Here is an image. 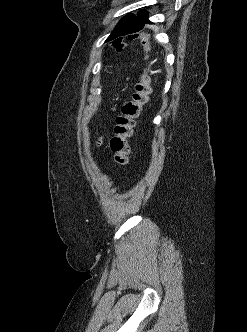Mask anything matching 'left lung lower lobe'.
I'll use <instances>...</instances> for the list:
<instances>
[{"label":"left lung lower lobe","mask_w":247,"mask_h":332,"mask_svg":"<svg viewBox=\"0 0 247 332\" xmlns=\"http://www.w3.org/2000/svg\"><path fill=\"white\" fill-rule=\"evenodd\" d=\"M145 24H152V22L147 19L145 11H139L137 16L134 15L120 27L118 36L128 35L130 39H133L137 36L136 33L143 29Z\"/></svg>","instance_id":"obj_1"}]
</instances>
